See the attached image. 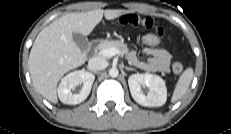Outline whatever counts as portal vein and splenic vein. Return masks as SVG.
Wrapping results in <instances>:
<instances>
[{
  "mask_svg": "<svg viewBox=\"0 0 231 134\" xmlns=\"http://www.w3.org/2000/svg\"><path fill=\"white\" fill-rule=\"evenodd\" d=\"M100 54L104 57L111 58L115 55L123 56V53L115 47H110L100 51Z\"/></svg>",
  "mask_w": 231,
  "mask_h": 134,
  "instance_id": "18ae733b",
  "label": "portal vein and splenic vein"
}]
</instances>
